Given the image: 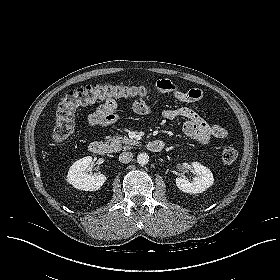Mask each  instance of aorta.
Masks as SVG:
<instances>
[{
	"mask_svg": "<svg viewBox=\"0 0 280 280\" xmlns=\"http://www.w3.org/2000/svg\"><path fill=\"white\" fill-rule=\"evenodd\" d=\"M137 162L140 165H146L149 162V156L147 153H140L137 156Z\"/></svg>",
	"mask_w": 280,
	"mask_h": 280,
	"instance_id": "aorta-1",
	"label": "aorta"
}]
</instances>
